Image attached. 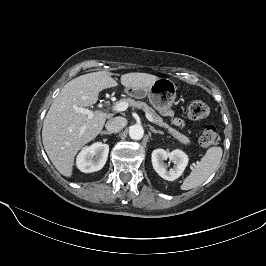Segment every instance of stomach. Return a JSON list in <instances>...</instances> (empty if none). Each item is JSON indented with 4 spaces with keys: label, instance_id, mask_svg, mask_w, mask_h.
<instances>
[{
    "label": "stomach",
    "instance_id": "0dacf381",
    "mask_svg": "<svg viewBox=\"0 0 266 266\" xmlns=\"http://www.w3.org/2000/svg\"><path fill=\"white\" fill-rule=\"evenodd\" d=\"M177 87L168 78H159L152 85L140 89L125 87L126 93L141 99L148 97L150 104L158 111L170 109L176 98Z\"/></svg>",
    "mask_w": 266,
    "mask_h": 266
}]
</instances>
